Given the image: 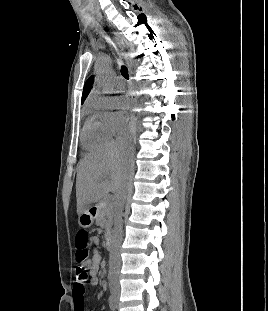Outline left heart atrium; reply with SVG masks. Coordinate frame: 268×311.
Masks as SVG:
<instances>
[{
  "label": "left heart atrium",
  "mask_w": 268,
  "mask_h": 311,
  "mask_svg": "<svg viewBox=\"0 0 268 311\" xmlns=\"http://www.w3.org/2000/svg\"><path fill=\"white\" fill-rule=\"evenodd\" d=\"M114 104L119 109H127L130 106V101L125 97H117L114 99Z\"/></svg>",
  "instance_id": "obj_1"
}]
</instances>
